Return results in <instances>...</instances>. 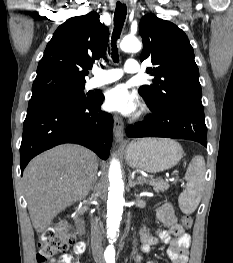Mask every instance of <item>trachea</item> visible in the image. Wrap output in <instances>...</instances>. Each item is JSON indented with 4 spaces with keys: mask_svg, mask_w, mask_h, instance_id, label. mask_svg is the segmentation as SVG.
Returning <instances> with one entry per match:
<instances>
[{
    "mask_svg": "<svg viewBox=\"0 0 233 263\" xmlns=\"http://www.w3.org/2000/svg\"><path fill=\"white\" fill-rule=\"evenodd\" d=\"M127 14V8L125 4L117 2L116 10L114 13V32L112 35V59L114 62H118L119 55L116 47V40L119 38L121 30L123 28Z\"/></svg>",
    "mask_w": 233,
    "mask_h": 263,
    "instance_id": "1",
    "label": "trachea"
}]
</instances>
